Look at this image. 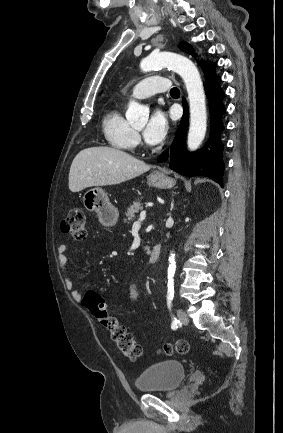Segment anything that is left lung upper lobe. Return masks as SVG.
<instances>
[{
    "label": "left lung upper lobe",
    "mask_w": 283,
    "mask_h": 433,
    "mask_svg": "<svg viewBox=\"0 0 283 433\" xmlns=\"http://www.w3.org/2000/svg\"><path fill=\"white\" fill-rule=\"evenodd\" d=\"M180 48H181L182 50H184V51L190 53V54L192 53V52H191V46L188 45L187 43H181V44H180Z\"/></svg>",
    "instance_id": "left-lung-upper-lobe-1"
}]
</instances>
